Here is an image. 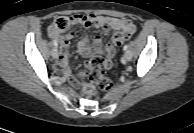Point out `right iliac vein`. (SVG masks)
Masks as SVG:
<instances>
[{
  "instance_id": "63e3f726",
  "label": "right iliac vein",
  "mask_w": 194,
  "mask_h": 133,
  "mask_svg": "<svg viewBox=\"0 0 194 133\" xmlns=\"http://www.w3.org/2000/svg\"><path fill=\"white\" fill-rule=\"evenodd\" d=\"M58 55H59V52H58L57 48H54V49L52 50V57H53L54 59H57V58H58Z\"/></svg>"
}]
</instances>
